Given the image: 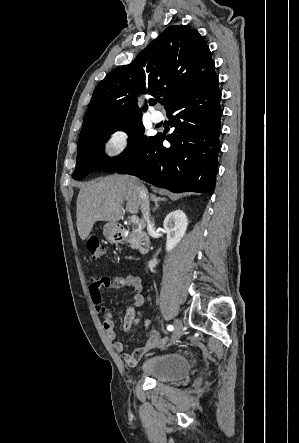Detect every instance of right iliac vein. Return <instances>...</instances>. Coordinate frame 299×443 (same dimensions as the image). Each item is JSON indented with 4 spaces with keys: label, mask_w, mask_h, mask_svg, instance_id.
Segmentation results:
<instances>
[{
    "label": "right iliac vein",
    "mask_w": 299,
    "mask_h": 443,
    "mask_svg": "<svg viewBox=\"0 0 299 443\" xmlns=\"http://www.w3.org/2000/svg\"><path fill=\"white\" fill-rule=\"evenodd\" d=\"M182 322L178 319L174 321V333L172 337V342L175 343L178 341V339L182 336Z\"/></svg>",
    "instance_id": "right-iliac-vein-1"
}]
</instances>
